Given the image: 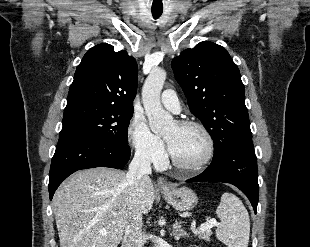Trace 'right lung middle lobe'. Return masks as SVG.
Instances as JSON below:
<instances>
[{
	"label": "right lung middle lobe",
	"instance_id": "1",
	"mask_svg": "<svg viewBox=\"0 0 310 247\" xmlns=\"http://www.w3.org/2000/svg\"><path fill=\"white\" fill-rule=\"evenodd\" d=\"M133 110L76 107L64 110L60 138L81 136L113 146H126L127 127Z\"/></svg>",
	"mask_w": 310,
	"mask_h": 247
}]
</instances>
